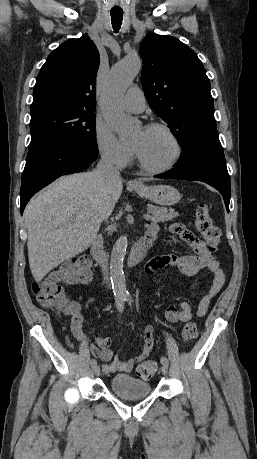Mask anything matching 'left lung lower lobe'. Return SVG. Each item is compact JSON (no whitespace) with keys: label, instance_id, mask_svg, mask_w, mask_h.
<instances>
[{"label":"left lung lower lobe","instance_id":"1","mask_svg":"<svg viewBox=\"0 0 257 459\" xmlns=\"http://www.w3.org/2000/svg\"><path fill=\"white\" fill-rule=\"evenodd\" d=\"M176 165L174 169L154 177L205 182L222 194L229 212L230 178L216 129L200 134L194 145L193 156L187 159L180 158Z\"/></svg>","mask_w":257,"mask_h":459}]
</instances>
